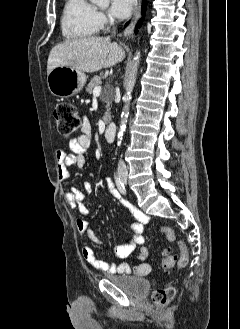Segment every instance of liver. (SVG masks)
Segmentation results:
<instances>
[{
    "instance_id": "liver-1",
    "label": "liver",
    "mask_w": 240,
    "mask_h": 329,
    "mask_svg": "<svg viewBox=\"0 0 240 329\" xmlns=\"http://www.w3.org/2000/svg\"><path fill=\"white\" fill-rule=\"evenodd\" d=\"M125 52L108 37H84L65 41L52 48L47 61L49 74L57 66L93 73L121 62Z\"/></svg>"
}]
</instances>
